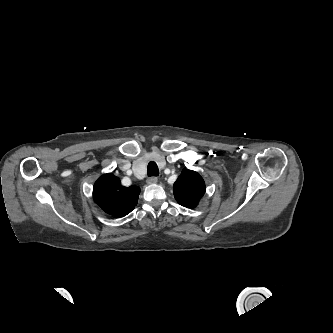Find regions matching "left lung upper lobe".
<instances>
[{"label": "left lung upper lobe", "mask_w": 333, "mask_h": 333, "mask_svg": "<svg viewBox=\"0 0 333 333\" xmlns=\"http://www.w3.org/2000/svg\"><path fill=\"white\" fill-rule=\"evenodd\" d=\"M205 190L203 178L197 172L188 169L181 172L173 187L175 199L187 208L196 207Z\"/></svg>", "instance_id": "obj_1"}]
</instances>
